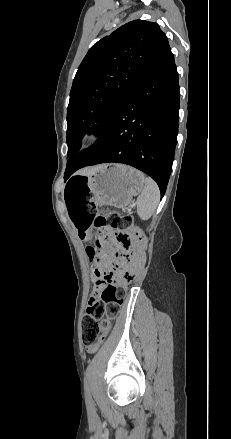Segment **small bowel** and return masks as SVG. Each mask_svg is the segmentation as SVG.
<instances>
[{"label":"small bowel","mask_w":231,"mask_h":439,"mask_svg":"<svg viewBox=\"0 0 231 439\" xmlns=\"http://www.w3.org/2000/svg\"><path fill=\"white\" fill-rule=\"evenodd\" d=\"M105 234L107 235V241L111 242L112 241V233L110 230H106ZM83 236L82 238L87 239L88 238V234H80V236ZM107 267V263H106V259L105 258H96L95 259V270H94V281H95V286L92 290V294L90 296L89 301L93 302L95 301L101 294V292L104 289V282L101 280L102 274L104 272V270Z\"/></svg>","instance_id":"c3829d8e"}]
</instances>
